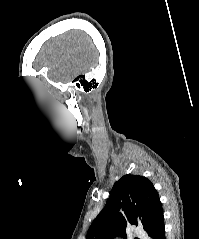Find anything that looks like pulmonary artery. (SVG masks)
I'll return each instance as SVG.
<instances>
[{
	"label": "pulmonary artery",
	"mask_w": 199,
	"mask_h": 239,
	"mask_svg": "<svg viewBox=\"0 0 199 239\" xmlns=\"http://www.w3.org/2000/svg\"><path fill=\"white\" fill-rule=\"evenodd\" d=\"M133 234L141 239H147V234L146 232L139 228V227H135L134 228V231H133Z\"/></svg>",
	"instance_id": "1"
}]
</instances>
